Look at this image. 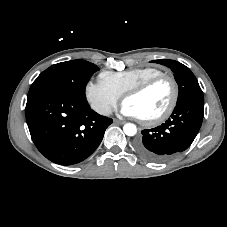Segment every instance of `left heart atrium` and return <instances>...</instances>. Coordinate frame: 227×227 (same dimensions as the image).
<instances>
[{"instance_id": "39dd6f15", "label": "left heart atrium", "mask_w": 227, "mask_h": 227, "mask_svg": "<svg viewBox=\"0 0 227 227\" xmlns=\"http://www.w3.org/2000/svg\"><path fill=\"white\" fill-rule=\"evenodd\" d=\"M121 113L127 117L139 118V115L136 110L125 102L122 104Z\"/></svg>"}]
</instances>
